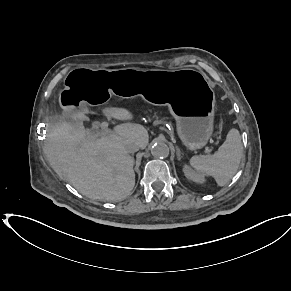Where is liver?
I'll list each match as a JSON object with an SVG mask.
<instances>
[{
  "instance_id": "liver-1",
  "label": "liver",
  "mask_w": 291,
  "mask_h": 291,
  "mask_svg": "<svg viewBox=\"0 0 291 291\" xmlns=\"http://www.w3.org/2000/svg\"><path fill=\"white\" fill-rule=\"evenodd\" d=\"M102 112L118 120L133 119L125 108L107 107ZM66 117L75 123L67 122ZM88 120L83 111H66L48 129L52 163L83 195L98 200H122L135 185L134 159L126 145L136 143L145 149L148 132L140 124L124 123L117 125L111 134L93 137L83 125Z\"/></svg>"
}]
</instances>
